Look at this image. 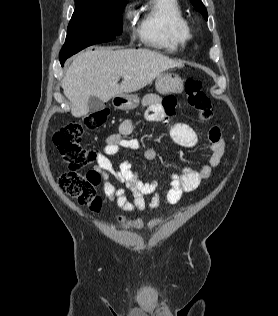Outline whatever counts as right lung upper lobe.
I'll list each match as a JSON object with an SVG mask.
<instances>
[{"mask_svg":"<svg viewBox=\"0 0 278 316\" xmlns=\"http://www.w3.org/2000/svg\"><path fill=\"white\" fill-rule=\"evenodd\" d=\"M98 1H118V0H98Z\"/></svg>","mask_w":278,"mask_h":316,"instance_id":"1","label":"right lung upper lobe"}]
</instances>
